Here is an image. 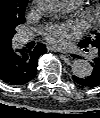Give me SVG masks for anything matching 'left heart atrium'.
<instances>
[{
  "mask_svg": "<svg viewBox=\"0 0 100 118\" xmlns=\"http://www.w3.org/2000/svg\"><path fill=\"white\" fill-rule=\"evenodd\" d=\"M77 35V29L69 24H53L44 31L45 38L54 45H64Z\"/></svg>",
  "mask_w": 100,
  "mask_h": 118,
  "instance_id": "left-heart-atrium-1",
  "label": "left heart atrium"
}]
</instances>
